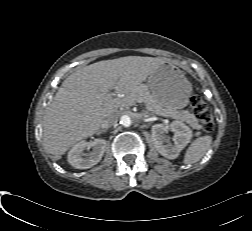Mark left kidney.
<instances>
[{"label": "left kidney", "mask_w": 252, "mask_h": 231, "mask_svg": "<svg viewBox=\"0 0 252 231\" xmlns=\"http://www.w3.org/2000/svg\"><path fill=\"white\" fill-rule=\"evenodd\" d=\"M169 129L174 132V144L169 143L165 135ZM151 133L155 148L168 159L177 158L193 136L192 130L180 121H173L169 127L163 124H155L152 126Z\"/></svg>", "instance_id": "1"}]
</instances>
